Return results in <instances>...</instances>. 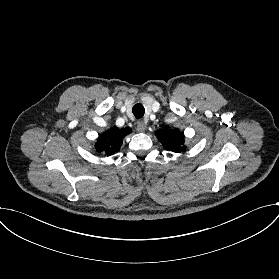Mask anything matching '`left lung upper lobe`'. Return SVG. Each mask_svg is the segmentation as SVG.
I'll list each match as a JSON object with an SVG mask.
<instances>
[{
	"label": "left lung upper lobe",
	"mask_w": 279,
	"mask_h": 279,
	"mask_svg": "<svg viewBox=\"0 0 279 279\" xmlns=\"http://www.w3.org/2000/svg\"><path fill=\"white\" fill-rule=\"evenodd\" d=\"M156 136L165 149L173 152H181L185 150L184 134L179 129H169L168 127L156 132Z\"/></svg>",
	"instance_id": "5c2ea615"
}]
</instances>
